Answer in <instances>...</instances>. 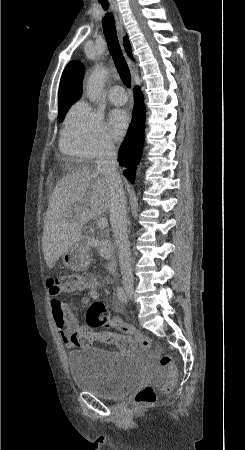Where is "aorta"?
<instances>
[{
	"label": "aorta",
	"mask_w": 245,
	"mask_h": 450,
	"mask_svg": "<svg viewBox=\"0 0 245 450\" xmlns=\"http://www.w3.org/2000/svg\"><path fill=\"white\" fill-rule=\"evenodd\" d=\"M107 75L108 70L106 68H96L89 77L86 85V94L91 102L98 100Z\"/></svg>",
	"instance_id": "1"
}]
</instances>
